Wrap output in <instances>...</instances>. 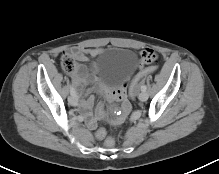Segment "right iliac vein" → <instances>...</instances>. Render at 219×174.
<instances>
[{"instance_id": "right-iliac-vein-1", "label": "right iliac vein", "mask_w": 219, "mask_h": 174, "mask_svg": "<svg viewBox=\"0 0 219 174\" xmlns=\"http://www.w3.org/2000/svg\"><path fill=\"white\" fill-rule=\"evenodd\" d=\"M68 102H69L70 105L76 106V105L78 104L77 97L72 96V95L69 96V97H68Z\"/></svg>"}]
</instances>
